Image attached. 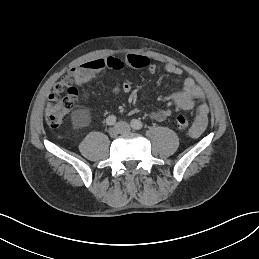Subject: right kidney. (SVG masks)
<instances>
[{
    "instance_id": "ca27d5eb",
    "label": "right kidney",
    "mask_w": 259,
    "mask_h": 259,
    "mask_svg": "<svg viewBox=\"0 0 259 259\" xmlns=\"http://www.w3.org/2000/svg\"><path fill=\"white\" fill-rule=\"evenodd\" d=\"M72 121L75 127H84L90 123L89 112L85 109L77 110L72 113Z\"/></svg>"
}]
</instances>
